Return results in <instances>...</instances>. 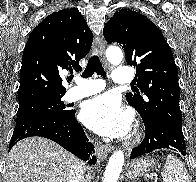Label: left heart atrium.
Wrapping results in <instances>:
<instances>
[{"label": "left heart atrium", "mask_w": 196, "mask_h": 182, "mask_svg": "<svg viewBox=\"0 0 196 182\" xmlns=\"http://www.w3.org/2000/svg\"><path fill=\"white\" fill-rule=\"evenodd\" d=\"M80 119L94 132L108 137L125 135L132 122L130 112L122 109L120 100L112 93L86 101L82 106Z\"/></svg>", "instance_id": "obj_1"}]
</instances>
